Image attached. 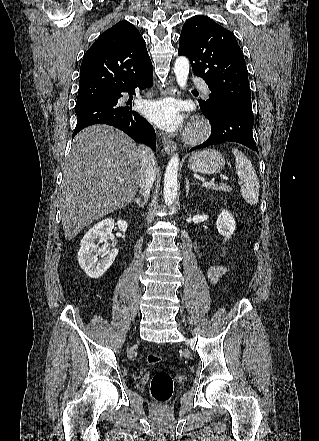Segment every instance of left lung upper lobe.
<instances>
[{
	"mask_svg": "<svg viewBox=\"0 0 319 441\" xmlns=\"http://www.w3.org/2000/svg\"><path fill=\"white\" fill-rule=\"evenodd\" d=\"M178 55L188 57L193 73L211 94L199 100L207 108L228 105L253 116L243 53L235 36L208 17L193 16L183 25Z\"/></svg>",
	"mask_w": 319,
	"mask_h": 441,
	"instance_id": "5c2ea615",
	"label": "left lung upper lobe"
}]
</instances>
